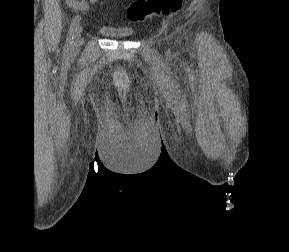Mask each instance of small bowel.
Segmentation results:
<instances>
[{
  "mask_svg": "<svg viewBox=\"0 0 289 252\" xmlns=\"http://www.w3.org/2000/svg\"><path fill=\"white\" fill-rule=\"evenodd\" d=\"M99 0H66L67 5L74 11H86Z\"/></svg>",
  "mask_w": 289,
  "mask_h": 252,
  "instance_id": "small-bowel-1",
  "label": "small bowel"
}]
</instances>
